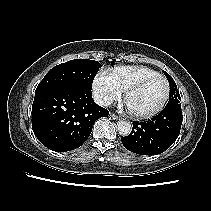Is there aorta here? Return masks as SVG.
Segmentation results:
<instances>
[{
  "label": "aorta",
  "mask_w": 211,
  "mask_h": 211,
  "mask_svg": "<svg viewBox=\"0 0 211 211\" xmlns=\"http://www.w3.org/2000/svg\"><path fill=\"white\" fill-rule=\"evenodd\" d=\"M117 129L120 135L128 136L131 133L132 126L128 121L120 120L117 122Z\"/></svg>",
  "instance_id": "aorta-1"
}]
</instances>
